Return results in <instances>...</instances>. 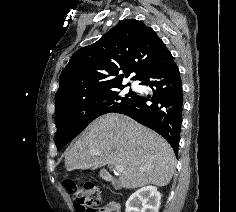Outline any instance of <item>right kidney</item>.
<instances>
[{"label":"right kidney","mask_w":236,"mask_h":212,"mask_svg":"<svg viewBox=\"0 0 236 212\" xmlns=\"http://www.w3.org/2000/svg\"><path fill=\"white\" fill-rule=\"evenodd\" d=\"M160 200L161 193L156 187H142L128 198L125 212H158Z\"/></svg>","instance_id":"ca27d5eb"}]
</instances>
